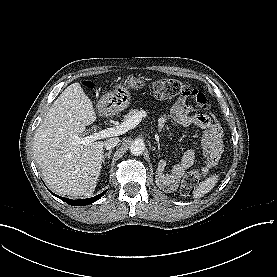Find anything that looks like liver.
Listing matches in <instances>:
<instances>
[{
    "instance_id": "liver-1",
    "label": "liver",
    "mask_w": 277,
    "mask_h": 277,
    "mask_svg": "<svg viewBox=\"0 0 277 277\" xmlns=\"http://www.w3.org/2000/svg\"><path fill=\"white\" fill-rule=\"evenodd\" d=\"M96 120L92 101L80 83L69 85L36 129L33 154L48 186L75 198L92 194L101 172L104 142L81 144L86 126Z\"/></svg>"
}]
</instances>
